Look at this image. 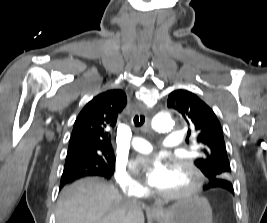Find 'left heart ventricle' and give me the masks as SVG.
Here are the masks:
<instances>
[{"label": "left heart ventricle", "instance_id": "left-heart-ventricle-1", "mask_svg": "<svg viewBox=\"0 0 267 223\" xmlns=\"http://www.w3.org/2000/svg\"><path fill=\"white\" fill-rule=\"evenodd\" d=\"M192 183L193 177L187 169H169L168 178L157 189L161 192H177L188 189Z\"/></svg>", "mask_w": 267, "mask_h": 223}]
</instances>
